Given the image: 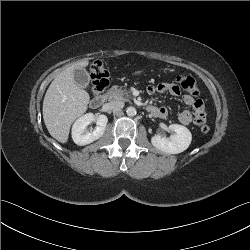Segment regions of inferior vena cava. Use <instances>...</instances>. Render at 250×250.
Segmentation results:
<instances>
[{
  "label": "inferior vena cava",
  "mask_w": 250,
  "mask_h": 250,
  "mask_svg": "<svg viewBox=\"0 0 250 250\" xmlns=\"http://www.w3.org/2000/svg\"><path fill=\"white\" fill-rule=\"evenodd\" d=\"M108 109L117 112L120 111L124 107V103L120 101H114L106 104Z\"/></svg>",
  "instance_id": "obj_1"
}]
</instances>
